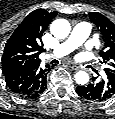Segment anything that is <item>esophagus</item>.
<instances>
[{
  "label": "esophagus",
  "instance_id": "34e87169",
  "mask_svg": "<svg viewBox=\"0 0 115 119\" xmlns=\"http://www.w3.org/2000/svg\"><path fill=\"white\" fill-rule=\"evenodd\" d=\"M70 67L73 69V70H80L81 69V66L75 64V63H72L70 62Z\"/></svg>",
  "mask_w": 115,
  "mask_h": 119
}]
</instances>
